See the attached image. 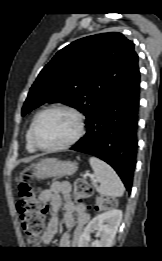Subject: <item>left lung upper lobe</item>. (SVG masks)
I'll return each instance as SVG.
<instances>
[{
  "label": "left lung upper lobe",
  "mask_w": 162,
  "mask_h": 261,
  "mask_svg": "<svg viewBox=\"0 0 162 261\" xmlns=\"http://www.w3.org/2000/svg\"><path fill=\"white\" fill-rule=\"evenodd\" d=\"M138 69L133 42L121 33L76 40L42 69L30 88L22 116L45 102L61 101L88 120L95 108Z\"/></svg>",
  "instance_id": "1"
}]
</instances>
